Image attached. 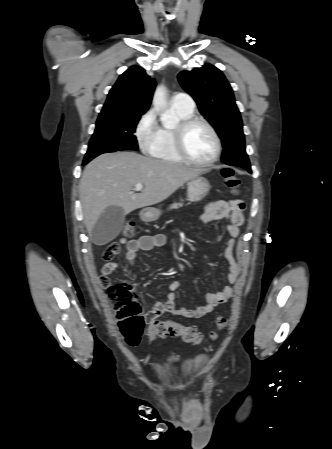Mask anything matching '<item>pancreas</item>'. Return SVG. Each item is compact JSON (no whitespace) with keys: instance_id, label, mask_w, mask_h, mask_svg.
Returning <instances> with one entry per match:
<instances>
[{"instance_id":"obj_1","label":"pancreas","mask_w":332,"mask_h":449,"mask_svg":"<svg viewBox=\"0 0 332 449\" xmlns=\"http://www.w3.org/2000/svg\"><path fill=\"white\" fill-rule=\"evenodd\" d=\"M182 206H183L182 203H173V204L169 207V209H178V208H180V207H182Z\"/></svg>"}]
</instances>
